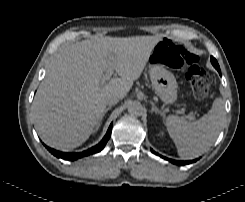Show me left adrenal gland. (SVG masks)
Returning <instances> with one entry per match:
<instances>
[{
	"instance_id": "obj_1",
	"label": "left adrenal gland",
	"mask_w": 245,
	"mask_h": 202,
	"mask_svg": "<svg viewBox=\"0 0 245 202\" xmlns=\"http://www.w3.org/2000/svg\"><path fill=\"white\" fill-rule=\"evenodd\" d=\"M150 103L152 105L151 113L155 112L156 114L163 115V112L155 106L154 102L151 101Z\"/></svg>"
}]
</instances>
